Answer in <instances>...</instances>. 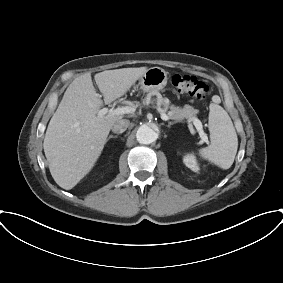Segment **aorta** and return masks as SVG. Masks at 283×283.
I'll return each instance as SVG.
<instances>
[{
	"label": "aorta",
	"mask_w": 283,
	"mask_h": 283,
	"mask_svg": "<svg viewBox=\"0 0 283 283\" xmlns=\"http://www.w3.org/2000/svg\"><path fill=\"white\" fill-rule=\"evenodd\" d=\"M157 133L147 125H141L136 133L137 141L140 144H151L157 139Z\"/></svg>",
	"instance_id": "aorta-1"
}]
</instances>
